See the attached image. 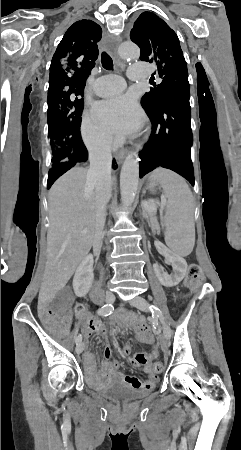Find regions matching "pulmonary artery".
<instances>
[{
  "instance_id": "obj_1",
  "label": "pulmonary artery",
  "mask_w": 241,
  "mask_h": 450,
  "mask_svg": "<svg viewBox=\"0 0 241 450\" xmlns=\"http://www.w3.org/2000/svg\"><path fill=\"white\" fill-rule=\"evenodd\" d=\"M149 71V64H131L128 70V77L149 80L151 78ZM125 85L126 80L120 78L118 74H98L92 85V90L96 92L98 97H109L110 100H113V94L117 95L120 88H123Z\"/></svg>"
}]
</instances>
